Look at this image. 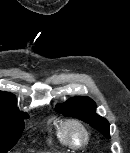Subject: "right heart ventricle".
Here are the masks:
<instances>
[{
    "label": "right heart ventricle",
    "mask_w": 130,
    "mask_h": 153,
    "mask_svg": "<svg viewBox=\"0 0 130 153\" xmlns=\"http://www.w3.org/2000/svg\"><path fill=\"white\" fill-rule=\"evenodd\" d=\"M53 134L59 143H61L64 146L70 147L65 140V137L62 131V123H57L54 125Z\"/></svg>",
    "instance_id": "e07e8e85"
}]
</instances>
